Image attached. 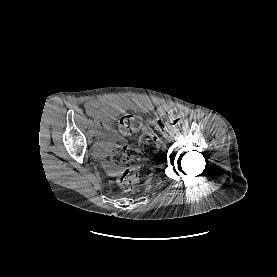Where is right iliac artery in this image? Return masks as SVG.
<instances>
[{
  "instance_id": "obj_1",
  "label": "right iliac artery",
  "mask_w": 277,
  "mask_h": 277,
  "mask_svg": "<svg viewBox=\"0 0 277 277\" xmlns=\"http://www.w3.org/2000/svg\"><path fill=\"white\" fill-rule=\"evenodd\" d=\"M94 132L98 133V134L100 133V129L97 125H95V127H94Z\"/></svg>"
}]
</instances>
